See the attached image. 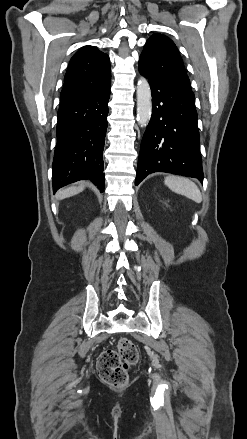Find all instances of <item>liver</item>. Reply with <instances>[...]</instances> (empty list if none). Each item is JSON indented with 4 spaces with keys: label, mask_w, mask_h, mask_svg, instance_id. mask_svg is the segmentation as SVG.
I'll return each mask as SVG.
<instances>
[{
    "label": "liver",
    "mask_w": 247,
    "mask_h": 439,
    "mask_svg": "<svg viewBox=\"0 0 247 439\" xmlns=\"http://www.w3.org/2000/svg\"><path fill=\"white\" fill-rule=\"evenodd\" d=\"M84 188H85V186L81 184L79 186H71V187L59 190L56 194V198L57 199H64V198L74 196V195L82 192L84 190Z\"/></svg>",
    "instance_id": "liver-1"
}]
</instances>
